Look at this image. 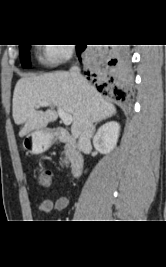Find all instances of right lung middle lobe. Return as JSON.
Listing matches in <instances>:
<instances>
[{"mask_svg":"<svg viewBox=\"0 0 166 267\" xmlns=\"http://www.w3.org/2000/svg\"><path fill=\"white\" fill-rule=\"evenodd\" d=\"M20 50V60L22 66L29 67L30 66V58H29V45H19Z\"/></svg>","mask_w":166,"mask_h":267,"instance_id":"1","label":"right lung middle lobe"}]
</instances>
